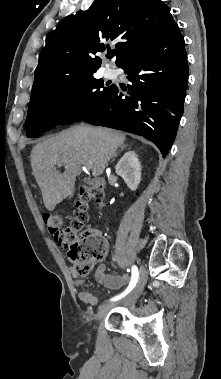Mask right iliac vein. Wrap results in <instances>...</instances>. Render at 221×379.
I'll list each match as a JSON object with an SVG mask.
<instances>
[{
  "label": "right iliac vein",
  "mask_w": 221,
  "mask_h": 379,
  "mask_svg": "<svg viewBox=\"0 0 221 379\" xmlns=\"http://www.w3.org/2000/svg\"><path fill=\"white\" fill-rule=\"evenodd\" d=\"M146 279H147L146 272L142 268L140 272L139 280L137 284L135 285L134 289L132 290V292L128 296H126L123 300L117 303H106L103 306H101L96 315V319H101L102 317H104L117 304L129 305L135 302L142 293V290L146 283Z\"/></svg>",
  "instance_id": "63e3f726"
}]
</instances>
